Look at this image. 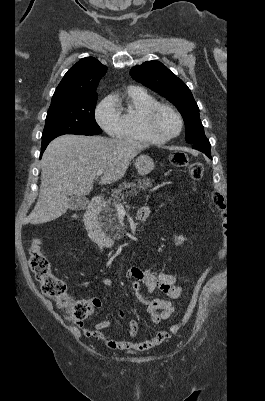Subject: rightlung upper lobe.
<instances>
[{
	"label": "right lung upper lobe",
	"mask_w": 265,
	"mask_h": 401,
	"mask_svg": "<svg viewBox=\"0 0 265 401\" xmlns=\"http://www.w3.org/2000/svg\"><path fill=\"white\" fill-rule=\"evenodd\" d=\"M107 67L93 57L79 60L63 77L52 97L55 106L68 100L97 95L96 89Z\"/></svg>",
	"instance_id": "right-lung-upper-lobe-1"
}]
</instances>
